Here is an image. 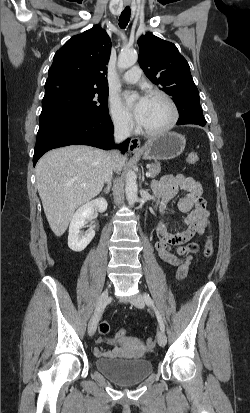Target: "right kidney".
Listing matches in <instances>:
<instances>
[{
	"mask_svg": "<svg viewBox=\"0 0 250 413\" xmlns=\"http://www.w3.org/2000/svg\"><path fill=\"white\" fill-rule=\"evenodd\" d=\"M107 205L104 198H96L77 209L69 226L68 246L71 250L81 252L92 241L95 236L93 227H90L85 234H81L80 229L92 219L95 208L102 213L106 211Z\"/></svg>",
	"mask_w": 250,
	"mask_h": 413,
	"instance_id": "right-kidney-1",
	"label": "right kidney"
}]
</instances>
